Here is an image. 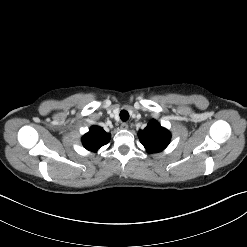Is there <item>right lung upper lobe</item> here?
<instances>
[{
  "instance_id": "1",
  "label": "right lung upper lobe",
  "mask_w": 247,
  "mask_h": 247,
  "mask_svg": "<svg viewBox=\"0 0 247 247\" xmlns=\"http://www.w3.org/2000/svg\"><path fill=\"white\" fill-rule=\"evenodd\" d=\"M111 135L99 126H92L89 132L82 137L83 146L90 151L96 152L99 148L110 141Z\"/></svg>"
}]
</instances>
